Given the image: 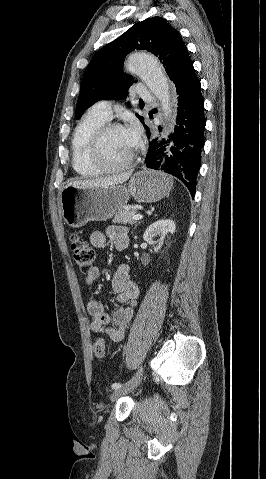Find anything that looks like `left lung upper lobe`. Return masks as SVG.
Listing matches in <instances>:
<instances>
[{
    "label": "left lung upper lobe",
    "instance_id": "left-lung-upper-lobe-1",
    "mask_svg": "<svg viewBox=\"0 0 266 479\" xmlns=\"http://www.w3.org/2000/svg\"><path fill=\"white\" fill-rule=\"evenodd\" d=\"M135 49H144L158 56L173 82L191 61L179 32L163 18L152 17L136 23L91 59L84 72L76 106V119L99 100L126 98L134 80L123 72L122 66L126 54ZM136 115L146 126L144 118Z\"/></svg>",
    "mask_w": 266,
    "mask_h": 479
}]
</instances>
